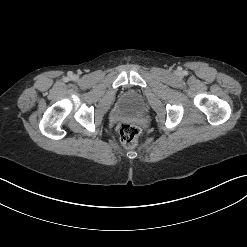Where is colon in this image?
I'll return each mask as SVG.
<instances>
[{
  "label": "colon",
  "instance_id": "1",
  "mask_svg": "<svg viewBox=\"0 0 247 247\" xmlns=\"http://www.w3.org/2000/svg\"><path fill=\"white\" fill-rule=\"evenodd\" d=\"M117 131L122 145L126 149L134 148L137 144L141 129L134 123L120 122L117 125Z\"/></svg>",
  "mask_w": 247,
  "mask_h": 247
}]
</instances>
